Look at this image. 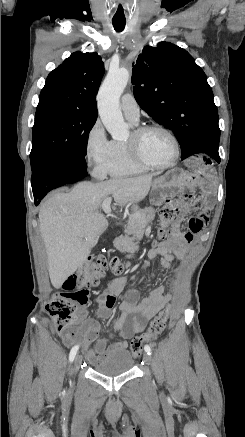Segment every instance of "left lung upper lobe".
Listing matches in <instances>:
<instances>
[{"mask_svg": "<svg viewBox=\"0 0 245 437\" xmlns=\"http://www.w3.org/2000/svg\"><path fill=\"white\" fill-rule=\"evenodd\" d=\"M133 66L137 103L175 134L181 158L218 151L217 107L207 77L193 57L174 44L160 42L144 47Z\"/></svg>", "mask_w": 245, "mask_h": 437, "instance_id": "left-lung-upper-lobe-1", "label": "left lung upper lobe"}]
</instances>
